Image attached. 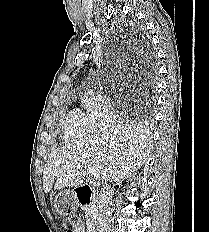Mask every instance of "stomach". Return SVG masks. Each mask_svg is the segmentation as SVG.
<instances>
[{"label": "stomach", "mask_w": 209, "mask_h": 232, "mask_svg": "<svg viewBox=\"0 0 209 232\" xmlns=\"http://www.w3.org/2000/svg\"><path fill=\"white\" fill-rule=\"evenodd\" d=\"M57 214H61V217L65 221H78L79 217L76 216L77 209L75 206L79 205L76 194L73 191H64L61 194H57L55 198Z\"/></svg>", "instance_id": "obj_1"}]
</instances>
